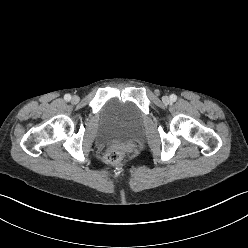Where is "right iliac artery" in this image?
Masks as SVG:
<instances>
[{
	"mask_svg": "<svg viewBox=\"0 0 248 248\" xmlns=\"http://www.w3.org/2000/svg\"><path fill=\"white\" fill-rule=\"evenodd\" d=\"M64 99H65L66 101H70V100H71V95H70V94H66V95L64 96Z\"/></svg>",
	"mask_w": 248,
	"mask_h": 248,
	"instance_id": "1",
	"label": "right iliac artery"
}]
</instances>
